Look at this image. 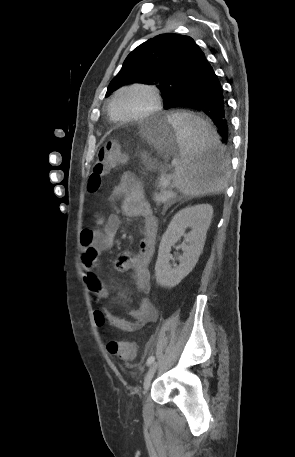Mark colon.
Segmentation results:
<instances>
[{
  "mask_svg": "<svg viewBox=\"0 0 295 457\" xmlns=\"http://www.w3.org/2000/svg\"><path fill=\"white\" fill-rule=\"evenodd\" d=\"M126 162V155L122 151L118 141L111 140L103 145L97 154L96 162L88 182L90 192H97L103 185L105 177L118 166ZM98 325H104V317L100 310L95 312ZM105 350L109 355H117L120 358L131 361L135 357V345L128 341H105Z\"/></svg>",
  "mask_w": 295,
  "mask_h": 457,
  "instance_id": "colon-1",
  "label": "colon"
}]
</instances>
